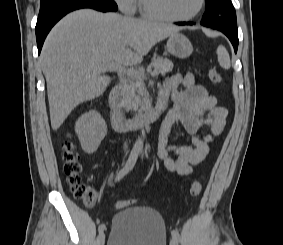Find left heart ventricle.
<instances>
[{"label": "left heart ventricle", "instance_id": "1", "mask_svg": "<svg viewBox=\"0 0 283 245\" xmlns=\"http://www.w3.org/2000/svg\"><path fill=\"white\" fill-rule=\"evenodd\" d=\"M149 8L170 17H183L193 13L199 0H146Z\"/></svg>", "mask_w": 283, "mask_h": 245}]
</instances>
